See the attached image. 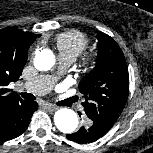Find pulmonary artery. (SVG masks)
Instances as JSON below:
<instances>
[{
    "label": "pulmonary artery",
    "instance_id": "1",
    "mask_svg": "<svg viewBox=\"0 0 153 153\" xmlns=\"http://www.w3.org/2000/svg\"><path fill=\"white\" fill-rule=\"evenodd\" d=\"M62 68H67L72 64L71 59L60 58ZM57 77L50 75H39L22 84V87L34 94L43 95L49 92L55 84Z\"/></svg>",
    "mask_w": 153,
    "mask_h": 153
}]
</instances>
